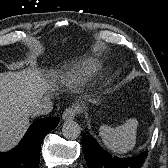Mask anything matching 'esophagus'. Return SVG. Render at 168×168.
I'll list each match as a JSON object with an SVG mask.
<instances>
[{
	"mask_svg": "<svg viewBox=\"0 0 168 168\" xmlns=\"http://www.w3.org/2000/svg\"><path fill=\"white\" fill-rule=\"evenodd\" d=\"M78 109L77 107H69L67 108L62 115V118L64 121H70L73 120L76 116Z\"/></svg>",
	"mask_w": 168,
	"mask_h": 168,
	"instance_id": "esophagus-1",
	"label": "esophagus"
}]
</instances>
